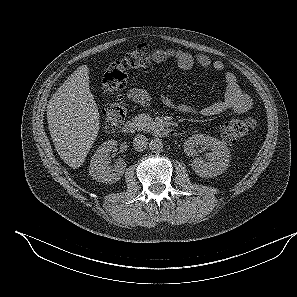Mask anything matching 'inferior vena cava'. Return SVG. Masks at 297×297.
I'll use <instances>...</instances> for the list:
<instances>
[{
  "label": "inferior vena cava",
  "mask_w": 297,
  "mask_h": 297,
  "mask_svg": "<svg viewBox=\"0 0 297 297\" xmlns=\"http://www.w3.org/2000/svg\"><path fill=\"white\" fill-rule=\"evenodd\" d=\"M147 137L144 135H136L133 140V147L136 151H143L147 147Z\"/></svg>",
  "instance_id": "1"
}]
</instances>
